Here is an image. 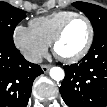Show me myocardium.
I'll use <instances>...</instances> for the list:
<instances>
[{
  "label": "myocardium",
  "mask_w": 107,
  "mask_h": 107,
  "mask_svg": "<svg viewBox=\"0 0 107 107\" xmlns=\"http://www.w3.org/2000/svg\"><path fill=\"white\" fill-rule=\"evenodd\" d=\"M75 19H83L86 22L88 29H89V36H88L87 42H86L85 46L83 47V49L76 55L71 56V57H62L56 51L57 44L62 39L69 24ZM93 40H94V28H93L92 22L90 21V19L87 16L77 13V14L72 15L71 17L67 18L62 23V25L59 27V29L57 30V32L55 33V35L53 37L51 47H52V51H53L54 55L58 59H60L61 61L65 62V63L71 64V63L78 62L79 60H81L82 58H84L87 55V53L89 52V50L93 44Z\"/></svg>",
  "instance_id": "obj_1"
}]
</instances>
